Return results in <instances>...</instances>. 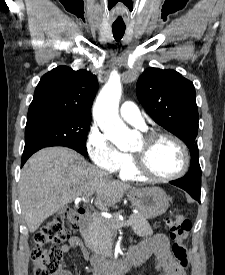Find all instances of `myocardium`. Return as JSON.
Segmentation results:
<instances>
[{
  "instance_id": "obj_1",
  "label": "myocardium",
  "mask_w": 225,
  "mask_h": 275,
  "mask_svg": "<svg viewBox=\"0 0 225 275\" xmlns=\"http://www.w3.org/2000/svg\"><path fill=\"white\" fill-rule=\"evenodd\" d=\"M160 139H169L176 143L183 155V164L181 168L171 175L154 174L147 165L146 152H133V166L135 171L142 177L152 181H171L183 176L190 165V156L186 144L177 136L165 132L152 131L143 135V140L147 145H151Z\"/></svg>"
}]
</instances>
